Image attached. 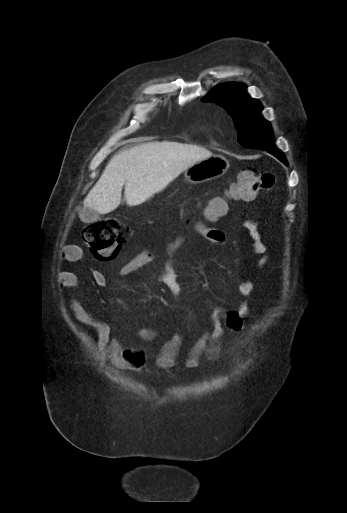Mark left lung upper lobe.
Returning a JSON list of instances; mask_svg holds the SVG:
<instances>
[{
	"instance_id": "1",
	"label": "left lung upper lobe",
	"mask_w": 347,
	"mask_h": 513,
	"mask_svg": "<svg viewBox=\"0 0 347 513\" xmlns=\"http://www.w3.org/2000/svg\"><path fill=\"white\" fill-rule=\"evenodd\" d=\"M226 108L238 130V142L247 148L275 150L272 128L261 115V103L249 97L241 83H225L213 88L202 100Z\"/></svg>"
}]
</instances>
